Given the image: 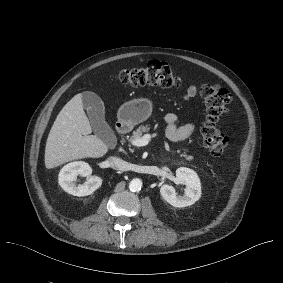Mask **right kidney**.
Segmentation results:
<instances>
[{
    "mask_svg": "<svg viewBox=\"0 0 283 283\" xmlns=\"http://www.w3.org/2000/svg\"><path fill=\"white\" fill-rule=\"evenodd\" d=\"M92 168L83 161H76L65 165L59 172V185L62 189L74 196L82 197L92 194L101 184L102 179L92 176ZM77 175L86 177V182L78 185L75 182Z\"/></svg>",
    "mask_w": 283,
    "mask_h": 283,
    "instance_id": "obj_1",
    "label": "right kidney"
}]
</instances>
